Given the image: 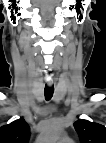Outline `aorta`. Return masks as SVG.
I'll return each instance as SVG.
<instances>
[{"label": "aorta", "instance_id": "aorta-1", "mask_svg": "<svg viewBox=\"0 0 106 143\" xmlns=\"http://www.w3.org/2000/svg\"><path fill=\"white\" fill-rule=\"evenodd\" d=\"M61 127L57 124L50 125L43 133L42 139L45 142H54L59 138Z\"/></svg>", "mask_w": 106, "mask_h": 143}]
</instances>
